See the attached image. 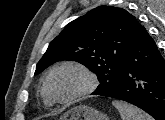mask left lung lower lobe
<instances>
[{"label": "left lung lower lobe", "mask_w": 165, "mask_h": 120, "mask_svg": "<svg viewBox=\"0 0 165 120\" xmlns=\"http://www.w3.org/2000/svg\"><path fill=\"white\" fill-rule=\"evenodd\" d=\"M107 97L131 103L165 120V61L147 31L128 52L119 86Z\"/></svg>", "instance_id": "0a47b994"}]
</instances>
